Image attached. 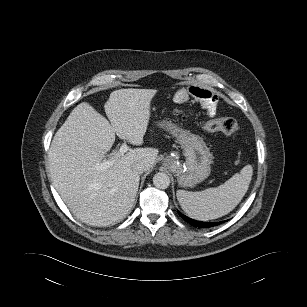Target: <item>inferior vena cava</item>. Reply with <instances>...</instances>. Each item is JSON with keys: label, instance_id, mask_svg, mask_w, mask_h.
<instances>
[{"label": "inferior vena cava", "instance_id": "602c4592", "mask_svg": "<svg viewBox=\"0 0 307 307\" xmlns=\"http://www.w3.org/2000/svg\"><path fill=\"white\" fill-rule=\"evenodd\" d=\"M133 171L142 174L145 171V165L143 163H136L133 165Z\"/></svg>", "mask_w": 307, "mask_h": 307}]
</instances>
